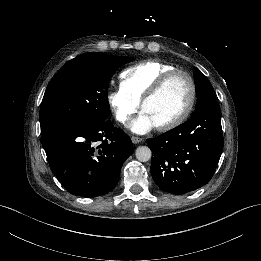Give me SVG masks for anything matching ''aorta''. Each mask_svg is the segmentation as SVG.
Returning <instances> with one entry per match:
<instances>
[{
	"label": "aorta",
	"mask_w": 261,
	"mask_h": 261,
	"mask_svg": "<svg viewBox=\"0 0 261 261\" xmlns=\"http://www.w3.org/2000/svg\"><path fill=\"white\" fill-rule=\"evenodd\" d=\"M151 150L147 146H141L136 149L135 156L140 162H148L151 159Z\"/></svg>",
	"instance_id": "1"
}]
</instances>
